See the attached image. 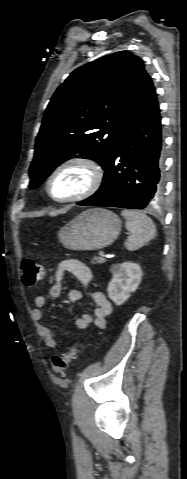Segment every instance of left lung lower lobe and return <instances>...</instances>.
Segmentation results:
<instances>
[{"instance_id": "left-lung-lower-lobe-1", "label": "left lung lower lobe", "mask_w": 187, "mask_h": 479, "mask_svg": "<svg viewBox=\"0 0 187 479\" xmlns=\"http://www.w3.org/2000/svg\"><path fill=\"white\" fill-rule=\"evenodd\" d=\"M163 139L157 94L147 74L121 131L115 150L103 168L100 189L77 203L143 209L162 195Z\"/></svg>"}]
</instances>
